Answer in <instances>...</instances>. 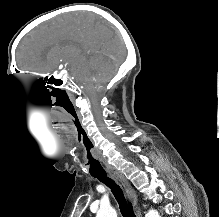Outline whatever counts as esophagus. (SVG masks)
Segmentation results:
<instances>
[{"label":"esophagus","mask_w":219,"mask_h":217,"mask_svg":"<svg viewBox=\"0 0 219 217\" xmlns=\"http://www.w3.org/2000/svg\"><path fill=\"white\" fill-rule=\"evenodd\" d=\"M107 174L109 177H111L116 182H118L119 184L122 185V187L124 188L126 194L128 195L129 199L131 200V202L135 208L136 216L142 217L141 209L138 205L137 194H136L135 190L133 189V187L131 186L130 182L126 179V177L115 168H108Z\"/></svg>","instance_id":"obj_1"}]
</instances>
